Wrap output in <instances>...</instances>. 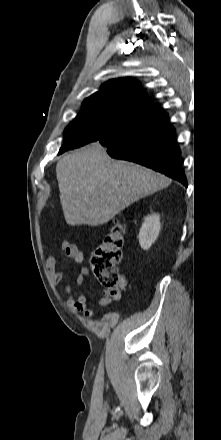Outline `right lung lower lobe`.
Masks as SVG:
<instances>
[{
  "label": "right lung lower lobe",
  "mask_w": 221,
  "mask_h": 440,
  "mask_svg": "<svg viewBox=\"0 0 221 440\" xmlns=\"http://www.w3.org/2000/svg\"><path fill=\"white\" fill-rule=\"evenodd\" d=\"M97 141L111 157L141 164L187 186L175 129L158 104L134 113Z\"/></svg>",
  "instance_id": "obj_1"
}]
</instances>
